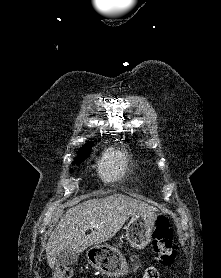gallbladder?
<instances>
[{
    "label": "gallbladder",
    "mask_w": 221,
    "mask_h": 278,
    "mask_svg": "<svg viewBox=\"0 0 221 278\" xmlns=\"http://www.w3.org/2000/svg\"><path fill=\"white\" fill-rule=\"evenodd\" d=\"M78 259H79L78 253H74L71 251H63L56 257L55 265L63 266V267L70 266L76 263Z\"/></svg>",
    "instance_id": "obj_1"
}]
</instances>
